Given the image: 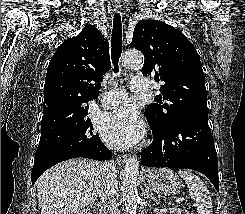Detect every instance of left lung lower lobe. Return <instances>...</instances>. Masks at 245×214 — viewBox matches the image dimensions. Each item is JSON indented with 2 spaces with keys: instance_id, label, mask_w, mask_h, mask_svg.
<instances>
[{
  "instance_id": "left-lung-lower-lobe-1",
  "label": "left lung lower lobe",
  "mask_w": 245,
  "mask_h": 214,
  "mask_svg": "<svg viewBox=\"0 0 245 214\" xmlns=\"http://www.w3.org/2000/svg\"><path fill=\"white\" fill-rule=\"evenodd\" d=\"M149 125L154 139L141 154L144 166L196 170L218 191L217 154L207 117L192 116L167 130Z\"/></svg>"
}]
</instances>
